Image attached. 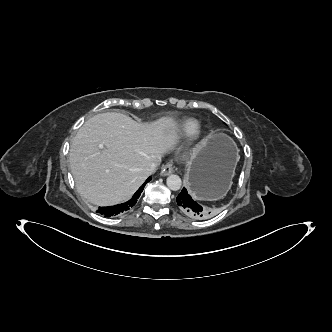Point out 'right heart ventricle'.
<instances>
[{"label": "right heart ventricle", "mask_w": 332, "mask_h": 332, "mask_svg": "<svg viewBox=\"0 0 332 332\" xmlns=\"http://www.w3.org/2000/svg\"><path fill=\"white\" fill-rule=\"evenodd\" d=\"M199 127V122L193 118H186L180 121L175 130L179 135L189 136Z\"/></svg>", "instance_id": "1"}]
</instances>
